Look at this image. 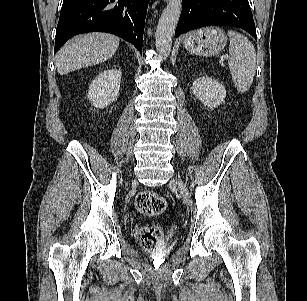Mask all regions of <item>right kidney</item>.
I'll return each mask as SVG.
<instances>
[{
    "instance_id": "right-kidney-1",
    "label": "right kidney",
    "mask_w": 307,
    "mask_h": 301,
    "mask_svg": "<svg viewBox=\"0 0 307 301\" xmlns=\"http://www.w3.org/2000/svg\"><path fill=\"white\" fill-rule=\"evenodd\" d=\"M122 73L120 69H107L98 74L89 86L88 99L96 108H104L119 95Z\"/></svg>"
}]
</instances>
